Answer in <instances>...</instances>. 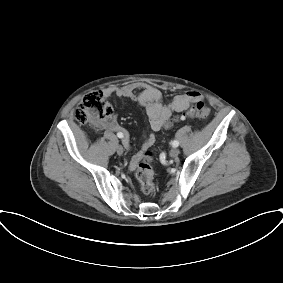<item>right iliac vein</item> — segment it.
Instances as JSON below:
<instances>
[{
    "mask_svg": "<svg viewBox=\"0 0 283 283\" xmlns=\"http://www.w3.org/2000/svg\"><path fill=\"white\" fill-rule=\"evenodd\" d=\"M123 152H124V148L121 145L117 146V154L122 155Z\"/></svg>",
    "mask_w": 283,
    "mask_h": 283,
    "instance_id": "1",
    "label": "right iliac vein"
}]
</instances>
